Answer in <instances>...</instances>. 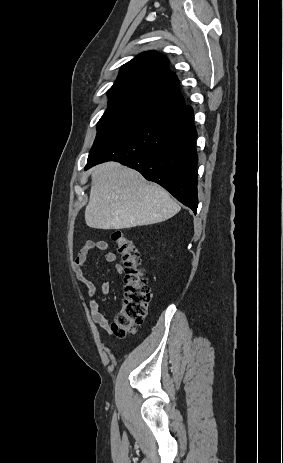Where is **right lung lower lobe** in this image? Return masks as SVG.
Instances as JSON below:
<instances>
[{
    "instance_id": "obj_1",
    "label": "right lung lower lobe",
    "mask_w": 283,
    "mask_h": 463,
    "mask_svg": "<svg viewBox=\"0 0 283 463\" xmlns=\"http://www.w3.org/2000/svg\"><path fill=\"white\" fill-rule=\"evenodd\" d=\"M196 138L192 107L184 104L156 116L89 156L85 170L102 162L118 161L163 186L196 213Z\"/></svg>"
}]
</instances>
